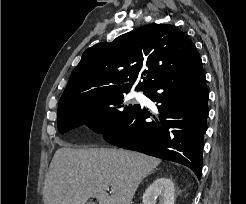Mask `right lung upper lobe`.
<instances>
[{"mask_svg": "<svg viewBox=\"0 0 246 204\" xmlns=\"http://www.w3.org/2000/svg\"><path fill=\"white\" fill-rule=\"evenodd\" d=\"M200 59L195 45L173 25L149 24L88 48L72 71L59 104L95 96L146 91L165 76ZM143 77V75H145Z\"/></svg>", "mask_w": 246, "mask_h": 204, "instance_id": "right-lung-upper-lobe-1", "label": "right lung upper lobe"}]
</instances>
